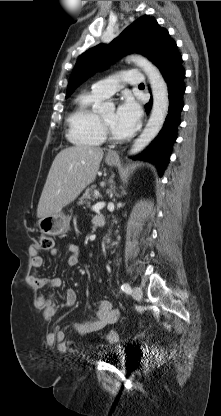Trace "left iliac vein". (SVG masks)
Segmentation results:
<instances>
[{"instance_id":"left-iliac-vein-1","label":"left iliac vein","mask_w":221,"mask_h":416,"mask_svg":"<svg viewBox=\"0 0 221 416\" xmlns=\"http://www.w3.org/2000/svg\"><path fill=\"white\" fill-rule=\"evenodd\" d=\"M142 289L138 286L134 287L132 289V296L136 300H140L142 298Z\"/></svg>"}]
</instances>
